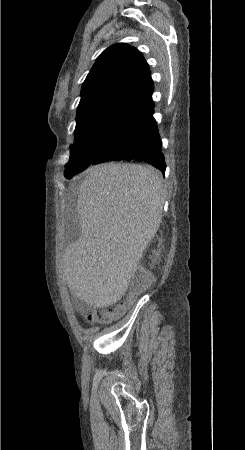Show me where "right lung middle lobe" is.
Wrapping results in <instances>:
<instances>
[{"label":"right lung middle lobe","mask_w":245,"mask_h":450,"mask_svg":"<svg viewBox=\"0 0 245 450\" xmlns=\"http://www.w3.org/2000/svg\"><path fill=\"white\" fill-rule=\"evenodd\" d=\"M141 113L113 106H97L77 113L74 150L64 176L70 179L86 169L100 154L128 139Z\"/></svg>","instance_id":"1"}]
</instances>
